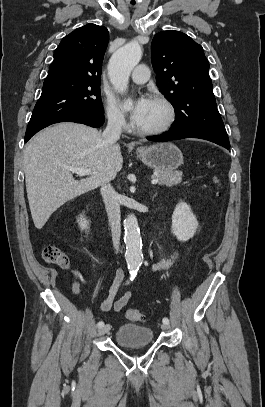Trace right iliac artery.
Listing matches in <instances>:
<instances>
[{"instance_id": "82829eb1", "label": "right iliac artery", "mask_w": 265, "mask_h": 407, "mask_svg": "<svg viewBox=\"0 0 265 407\" xmlns=\"http://www.w3.org/2000/svg\"><path fill=\"white\" fill-rule=\"evenodd\" d=\"M98 328H102L104 326V322L103 321H99L97 324Z\"/></svg>"}]
</instances>
